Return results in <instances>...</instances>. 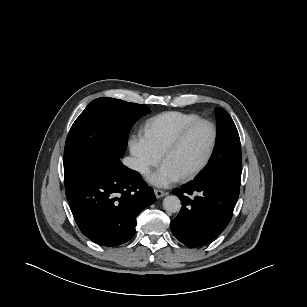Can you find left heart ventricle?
Instances as JSON below:
<instances>
[{
    "mask_svg": "<svg viewBox=\"0 0 307 307\" xmlns=\"http://www.w3.org/2000/svg\"><path fill=\"white\" fill-rule=\"evenodd\" d=\"M212 138L211 128L206 124L195 127L180 147L170 154L165 162L172 165L181 175L194 170L203 160Z\"/></svg>",
    "mask_w": 307,
    "mask_h": 307,
    "instance_id": "b2bd125f",
    "label": "left heart ventricle"
}]
</instances>
